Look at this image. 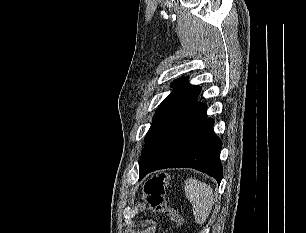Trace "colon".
I'll return each mask as SVG.
<instances>
[{
  "mask_svg": "<svg viewBox=\"0 0 306 233\" xmlns=\"http://www.w3.org/2000/svg\"><path fill=\"white\" fill-rule=\"evenodd\" d=\"M167 185L168 180L165 173L148 178L143 184L144 201L152 212L169 217L175 222L176 227L180 228L184 220L181 214L166 202Z\"/></svg>",
  "mask_w": 306,
  "mask_h": 233,
  "instance_id": "colon-1",
  "label": "colon"
}]
</instances>
